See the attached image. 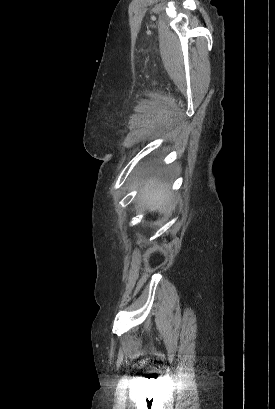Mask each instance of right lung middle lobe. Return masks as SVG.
<instances>
[{"instance_id":"dd1d6c3e","label":"right lung middle lobe","mask_w":275,"mask_h":409,"mask_svg":"<svg viewBox=\"0 0 275 409\" xmlns=\"http://www.w3.org/2000/svg\"><path fill=\"white\" fill-rule=\"evenodd\" d=\"M176 168L170 164L162 165H153V164H144L142 166V171L145 173L146 178H170L174 176L173 171Z\"/></svg>"}]
</instances>
